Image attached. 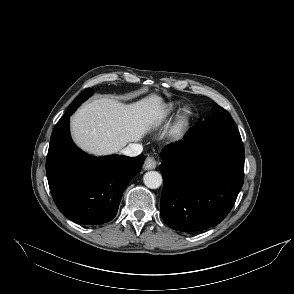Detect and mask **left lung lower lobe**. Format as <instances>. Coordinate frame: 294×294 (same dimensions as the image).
I'll list each match as a JSON object with an SVG mask.
<instances>
[{
  "label": "left lung lower lobe",
  "instance_id": "obj_1",
  "mask_svg": "<svg viewBox=\"0 0 294 294\" xmlns=\"http://www.w3.org/2000/svg\"><path fill=\"white\" fill-rule=\"evenodd\" d=\"M161 215L172 229L201 231L232 209L244 180V147L232 117H213L166 146Z\"/></svg>",
  "mask_w": 294,
  "mask_h": 294
}]
</instances>
